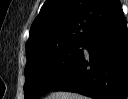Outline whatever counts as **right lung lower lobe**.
I'll use <instances>...</instances> for the list:
<instances>
[{
	"label": "right lung lower lobe",
	"mask_w": 128,
	"mask_h": 99,
	"mask_svg": "<svg viewBox=\"0 0 128 99\" xmlns=\"http://www.w3.org/2000/svg\"><path fill=\"white\" fill-rule=\"evenodd\" d=\"M76 67L53 91L77 92L94 99H127L128 31L122 7L83 41Z\"/></svg>",
	"instance_id": "obj_1"
}]
</instances>
